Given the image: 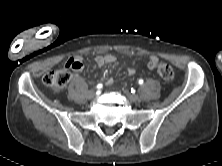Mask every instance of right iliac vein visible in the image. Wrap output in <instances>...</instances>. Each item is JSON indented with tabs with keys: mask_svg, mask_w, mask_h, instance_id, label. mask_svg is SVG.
<instances>
[{
	"mask_svg": "<svg viewBox=\"0 0 222 166\" xmlns=\"http://www.w3.org/2000/svg\"><path fill=\"white\" fill-rule=\"evenodd\" d=\"M95 95H96L95 90H90V91L87 92V97H88L89 99L94 98Z\"/></svg>",
	"mask_w": 222,
	"mask_h": 166,
	"instance_id": "right-iliac-vein-1",
	"label": "right iliac vein"
}]
</instances>
